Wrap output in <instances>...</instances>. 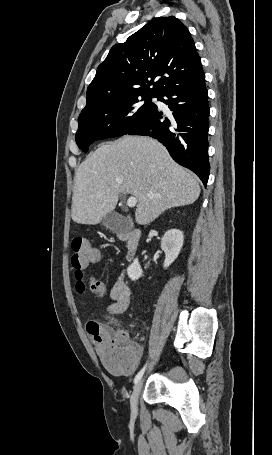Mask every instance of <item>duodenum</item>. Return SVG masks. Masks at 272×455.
Masks as SVG:
<instances>
[{
  "instance_id": "duodenum-1",
  "label": "duodenum",
  "mask_w": 272,
  "mask_h": 455,
  "mask_svg": "<svg viewBox=\"0 0 272 455\" xmlns=\"http://www.w3.org/2000/svg\"><path fill=\"white\" fill-rule=\"evenodd\" d=\"M116 235L120 240L126 242V258L128 261H132L139 248L141 231L134 228L128 231H119Z\"/></svg>"
}]
</instances>
